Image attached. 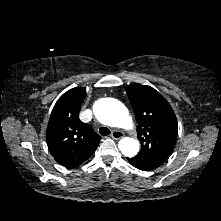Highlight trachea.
<instances>
[{
    "label": "trachea",
    "instance_id": "3493384b",
    "mask_svg": "<svg viewBox=\"0 0 221 221\" xmlns=\"http://www.w3.org/2000/svg\"><path fill=\"white\" fill-rule=\"evenodd\" d=\"M99 133L102 135V136H107L110 134V130L107 128V127H101L99 129Z\"/></svg>",
    "mask_w": 221,
    "mask_h": 221
}]
</instances>
